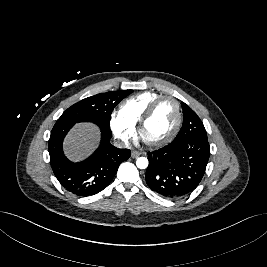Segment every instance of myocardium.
Listing matches in <instances>:
<instances>
[{
    "mask_svg": "<svg viewBox=\"0 0 267 267\" xmlns=\"http://www.w3.org/2000/svg\"><path fill=\"white\" fill-rule=\"evenodd\" d=\"M165 100H170L175 104L176 113H177L176 123H175V126L172 129V131L166 137H164V138H162L160 140H157V141H152V142L144 141L147 145L152 146V147L162 146V145H165V144L169 143L171 140H173L174 137L179 132L181 124H182V110H181L180 102L176 98H174L172 96L163 95V96H160L157 99H155L147 107V109L145 110V112L141 116L140 120L137 123V134H138V136L140 138H142V130H143L144 126L149 121V119L152 117V115L155 112V110L158 107V105L161 102L165 101Z\"/></svg>",
    "mask_w": 267,
    "mask_h": 267,
    "instance_id": "myocardium-1",
    "label": "myocardium"
}]
</instances>
